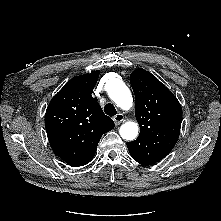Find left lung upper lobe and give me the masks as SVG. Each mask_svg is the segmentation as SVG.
I'll return each mask as SVG.
<instances>
[{"instance_id":"5c2ea615","label":"left lung upper lobe","mask_w":221,"mask_h":221,"mask_svg":"<svg viewBox=\"0 0 221 221\" xmlns=\"http://www.w3.org/2000/svg\"><path fill=\"white\" fill-rule=\"evenodd\" d=\"M140 126L138 138L127 143L131 156L142 165H151L175 146L182 122L177 98L151 73L138 68L130 75Z\"/></svg>"}]
</instances>
